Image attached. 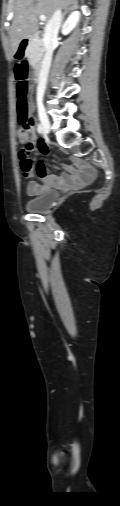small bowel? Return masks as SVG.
<instances>
[{
	"label": "small bowel",
	"mask_w": 120,
	"mask_h": 506,
	"mask_svg": "<svg viewBox=\"0 0 120 506\" xmlns=\"http://www.w3.org/2000/svg\"><path fill=\"white\" fill-rule=\"evenodd\" d=\"M32 132L36 138L33 122ZM38 149L41 155L37 161H34L31 157L25 158L20 155V162L23 171V175L29 180L27 185V192L30 196H38L45 192L52 186H69V187H81L91 182L94 178V170L86 166L82 161L75 160L74 164L63 165L64 169L70 174V177L66 174L61 176H54L48 173L47 168L44 165L42 157L47 154L46 143L41 141L38 143ZM37 176L43 182L42 185L36 184L33 178Z\"/></svg>",
	"instance_id": "c3829d8e"
}]
</instances>
